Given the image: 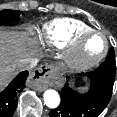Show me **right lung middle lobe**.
Wrapping results in <instances>:
<instances>
[{
  "label": "right lung middle lobe",
  "instance_id": "dd1d6c3e",
  "mask_svg": "<svg viewBox=\"0 0 117 117\" xmlns=\"http://www.w3.org/2000/svg\"><path fill=\"white\" fill-rule=\"evenodd\" d=\"M22 14L21 11L17 10H2L0 11V26L9 24L12 22H17L20 18L19 16Z\"/></svg>",
  "mask_w": 117,
  "mask_h": 117
}]
</instances>
